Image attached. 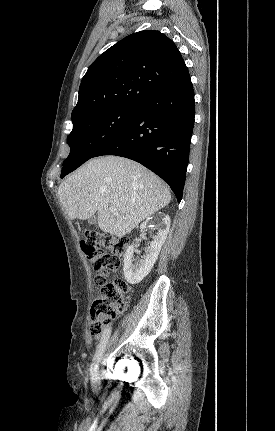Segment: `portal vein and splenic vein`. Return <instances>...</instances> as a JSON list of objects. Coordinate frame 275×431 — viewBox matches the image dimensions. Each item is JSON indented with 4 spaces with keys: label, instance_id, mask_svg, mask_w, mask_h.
I'll return each instance as SVG.
<instances>
[{
    "label": "portal vein and splenic vein",
    "instance_id": "1",
    "mask_svg": "<svg viewBox=\"0 0 275 431\" xmlns=\"http://www.w3.org/2000/svg\"><path fill=\"white\" fill-rule=\"evenodd\" d=\"M110 212L117 214V209L114 206L109 207Z\"/></svg>",
    "mask_w": 275,
    "mask_h": 431
}]
</instances>
